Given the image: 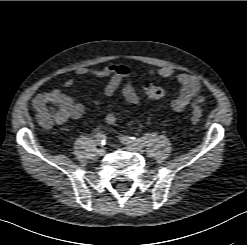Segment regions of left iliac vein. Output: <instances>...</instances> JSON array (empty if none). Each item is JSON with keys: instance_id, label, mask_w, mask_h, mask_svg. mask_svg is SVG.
I'll use <instances>...</instances> for the list:
<instances>
[{"instance_id": "left-iliac-vein-1", "label": "left iliac vein", "mask_w": 247, "mask_h": 245, "mask_svg": "<svg viewBox=\"0 0 247 245\" xmlns=\"http://www.w3.org/2000/svg\"><path fill=\"white\" fill-rule=\"evenodd\" d=\"M126 147L131 152H135V153H139V154H143L144 153V148L141 145H135V144H131V143H126Z\"/></svg>"}]
</instances>
